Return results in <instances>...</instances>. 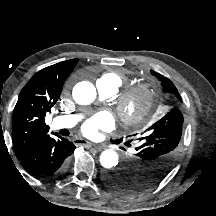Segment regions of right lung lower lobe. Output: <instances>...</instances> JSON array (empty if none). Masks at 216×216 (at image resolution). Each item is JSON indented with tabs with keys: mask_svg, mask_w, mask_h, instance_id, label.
<instances>
[{
	"mask_svg": "<svg viewBox=\"0 0 216 216\" xmlns=\"http://www.w3.org/2000/svg\"><path fill=\"white\" fill-rule=\"evenodd\" d=\"M55 135L58 139L46 137L20 159L27 172L40 178H51L60 173L76 147L67 139Z\"/></svg>",
	"mask_w": 216,
	"mask_h": 216,
	"instance_id": "1",
	"label": "right lung lower lobe"
}]
</instances>
